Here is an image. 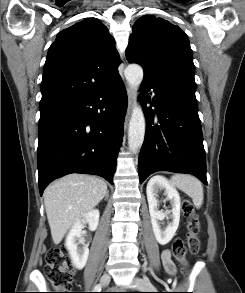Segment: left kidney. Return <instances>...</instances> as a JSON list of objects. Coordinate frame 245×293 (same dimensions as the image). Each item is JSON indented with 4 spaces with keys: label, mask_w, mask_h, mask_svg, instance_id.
<instances>
[{
    "label": "left kidney",
    "mask_w": 245,
    "mask_h": 293,
    "mask_svg": "<svg viewBox=\"0 0 245 293\" xmlns=\"http://www.w3.org/2000/svg\"><path fill=\"white\" fill-rule=\"evenodd\" d=\"M159 190H164L167 196V200L170 201L172 209L171 211L162 212L158 209L157 194ZM147 200L149 204V212L151 216V223L156 240L159 244L165 245L171 241L175 232L179 226L180 221V196L178 191L162 176L152 177L146 188ZM172 221L168 223V226L161 228L162 221L169 214Z\"/></svg>",
    "instance_id": "1"
}]
</instances>
